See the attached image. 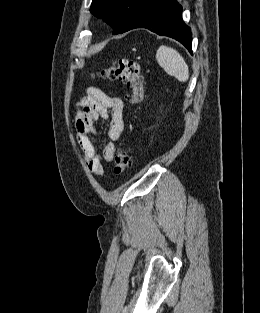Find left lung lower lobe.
Segmentation results:
<instances>
[{
	"instance_id": "1",
	"label": "left lung lower lobe",
	"mask_w": 260,
	"mask_h": 313,
	"mask_svg": "<svg viewBox=\"0 0 260 313\" xmlns=\"http://www.w3.org/2000/svg\"><path fill=\"white\" fill-rule=\"evenodd\" d=\"M182 7L176 0H153L125 29L147 28L158 35L169 36L192 53L191 30L182 20Z\"/></svg>"
}]
</instances>
